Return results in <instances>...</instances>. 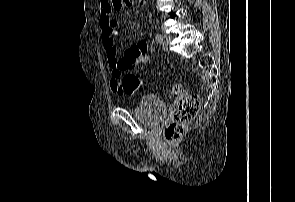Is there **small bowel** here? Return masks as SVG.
I'll return each mask as SVG.
<instances>
[{
  "label": "small bowel",
  "mask_w": 295,
  "mask_h": 202,
  "mask_svg": "<svg viewBox=\"0 0 295 202\" xmlns=\"http://www.w3.org/2000/svg\"><path fill=\"white\" fill-rule=\"evenodd\" d=\"M120 8L114 6L111 0H101L99 26L101 29V43L107 54L109 65L110 88L113 92L122 94L121 74L141 64L142 52H146L149 43L140 41L124 49L120 55L117 51L116 36L119 33L118 24L113 13ZM149 57V56H148Z\"/></svg>",
  "instance_id": "1"
}]
</instances>
